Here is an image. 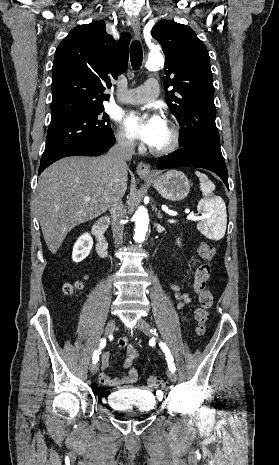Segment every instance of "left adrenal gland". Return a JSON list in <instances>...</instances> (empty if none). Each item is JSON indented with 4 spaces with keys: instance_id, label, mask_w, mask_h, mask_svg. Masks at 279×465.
<instances>
[{
    "instance_id": "1",
    "label": "left adrenal gland",
    "mask_w": 279,
    "mask_h": 465,
    "mask_svg": "<svg viewBox=\"0 0 279 465\" xmlns=\"http://www.w3.org/2000/svg\"><path fill=\"white\" fill-rule=\"evenodd\" d=\"M155 212L157 213V208L155 207ZM158 218H162V215L160 214V211H158V213L156 214Z\"/></svg>"
}]
</instances>
